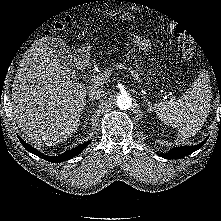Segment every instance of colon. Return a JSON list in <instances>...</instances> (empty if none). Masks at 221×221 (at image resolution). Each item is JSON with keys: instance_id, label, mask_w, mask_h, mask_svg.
<instances>
[{"instance_id": "colon-1", "label": "colon", "mask_w": 221, "mask_h": 221, "mask_svg": "<svg viewBox=\"0 0 221 221\" xmlns=\"http://www.w3.org/2000/svg\"><path fill=\"white\" fill-rule=\"evenodd\" d=\"M70 22L69 18L64 19L63 21L57 22L52 27V31H57L63 29L66 24ZM170 31L174 36L178 39L180 43V52L181 56L185 60H190L195 55V43L192 38L188 35L185 28L178 23H171L170 24Z\"/></svg>"}]
</instances>
